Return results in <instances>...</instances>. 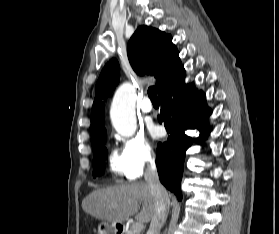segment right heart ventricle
<instances>
[{"instance_id": "right-heart-ventricle-1", "label": "right heart ventricle", "mask_w": 279, "mask_h": 234, "mask_svg": "<svg viewBox=\"0 0 279 234\" xmlns=\"http://www.w3.org/2000/svg\"><path fill=\"white\" fill-rule=\"evenodd\" d=\"M109 164L114 174H116L117 176L128 177L126 161L121 152H119L118 150H113L109 157Z\"/></svg>"}]
</instances>
